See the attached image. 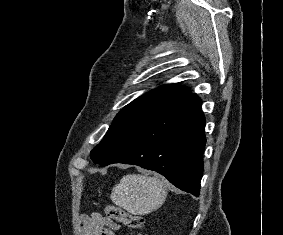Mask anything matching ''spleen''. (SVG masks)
<instances>
[{
  "label": "spleen",
  "instance_id": "1",
  "mask_svg": "<svg viewBox=\"0 0 283 235\" xmlns=\"http://www.w3.org/2000/svg\"><path fill=\"white\" fill-rule=\"evenodd\" d=\"M167 182L164 179L128 174L114 186L112 202L135 215H146L157 210L167 197Z\"/></svg>",
  "mask_w": 283,
  "mask_h": 235
}]
</instances>
